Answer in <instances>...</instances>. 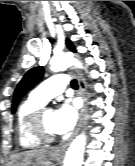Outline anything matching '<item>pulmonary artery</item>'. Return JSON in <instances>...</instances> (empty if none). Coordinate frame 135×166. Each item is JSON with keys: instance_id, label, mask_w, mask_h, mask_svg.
<instances>
[{"instance_id": "1", "label": "pulmonary artery", "mask_w": 135, "mask_h": 166, "mask_svg": "<svg viewBox=\"0 0 135 166\" xmlns=\"http://www.w3.org/2000/svg\"><path fill=\"white\" fill-rule=\"evenodd\" d=\"M68 78L64 73H58L39 84L31 93L43 103L61 94L68 85Z\"/></svg>"}]
</instances>
